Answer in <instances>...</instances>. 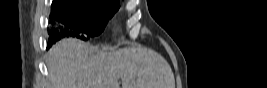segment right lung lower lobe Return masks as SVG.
<instances>
[{
  "mask_svg": "<svg viewBox=\"0 0 267 88\" xmlns=\"http://www.w3.org/2000/svg\"><path fill=\"white\" fill-rule=\"evenodd\" d=\"M51 31L59 34V37H55L53 40H49L50 45H52L53 43H55L56 41L60 40L61 38L65 36H73V32L71 28L63 24H59L57 27L52 28Z\"/></svg>",
  "mask_w": 267,
  "mask_h": 88,
  "instance_id": "obj_1",
  "label": "right lung lower lobe"
}]
</instances>
